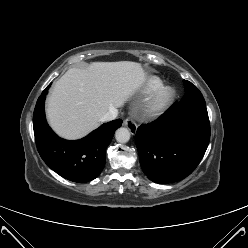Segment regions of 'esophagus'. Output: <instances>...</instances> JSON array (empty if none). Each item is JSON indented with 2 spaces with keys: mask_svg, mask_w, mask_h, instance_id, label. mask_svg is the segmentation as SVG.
Instances as JSON below:
<instances>
[{
  "mask_svg": "<svg viewBox=\"0 0 248 248\" xmlns=\"http://www.w3.org/2000/svg\"><path fill=\"white\" fill-rule=\"evenodd\" d=\"M124 126L127 127L129 129V131L132 133V134H135L136 131H137V124L136 122L131 118V117H128L124 120Z\"/></svg>",
  "mask_w": 248,
  "mask_h": 248,
  "instance_id": "esophagus-1",
  "label": "esophagus"
}]
</instances>
